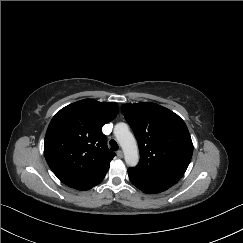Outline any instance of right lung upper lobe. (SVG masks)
Here are the masks:
<instances>
[{
    "instance_id": "cb5924a9",
    "label": "right lung upper lobe",
    "mask_w": 243,
    "mask_h": 243,
    "mask_svg": "<svg viewBox=\"0 0 243 243\" xmlns=\"http://www.w3.org/2000/svg\"><path fill=\"white\" fill-rule=\"evenodd\" d=\"M118 114L114 102L84 99L55 114L45 136L46 161L68 186L90 180L109 169L115 153L108 149L102 126Z\"/></svg>"
}]
</instances>
